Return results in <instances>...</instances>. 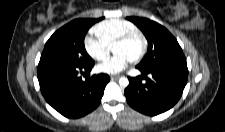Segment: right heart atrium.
Returning <instances> with one entry per match:
<instances>
[{"instance_id":"d8ad5b80","label":"right heart atrium","mask_w":225,"mask_h":132,"mask_svg":"<svg viewBox=\"0 0 225 132\" xmlns=\"http://www.w3.org/2000/svg\"><path fill=\"white\" fill-rule=\"evenodd\" d=\"M84 48L87 54L96 61L108 58L111 48L105 45L99 38L89 34L84 39Z\"/></svg>"}]
</instances>
